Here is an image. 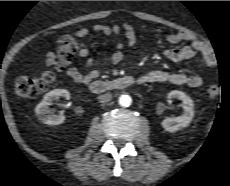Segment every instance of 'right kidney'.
I'll use <instances>...</instances> for the list:
<instances>
[{"label":"right kidney","mask_w":230,"mask_h":186,"mask_svg":"<svg viewBox=\"0 0 230 186\" xmlns=\"http://www.w3.org/2000/svg\"><path fill=\"white\" fill-rule=\"evenodd\" d=\"M64 97L70 98V93L65 89H54L44 95L43 100L36 106L35 113L38 119L47 125H60L64 123L65 116L63 114H53L49 109L52 101Z\"/></svg>","instance_id":"ca27d5eb"}]
</instances>
